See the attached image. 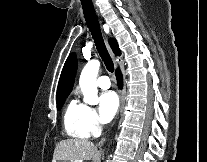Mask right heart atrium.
<instances>
[{"label":"right heart atrium","instance_id":"1","mask_svg":"<svg viewBox=\"0 0 207 162\" xmlns=\"http://www.w3.org/2000/svg\"><path fill=\"white\" fill-rule=\"evenodd\" d=\"M87 124L91 134L95 135L99 132L100 123H99L98 115L96 111L92 108H88Z\"/></svg>","mask_w":207,"mask_h":162}]
</instances>
